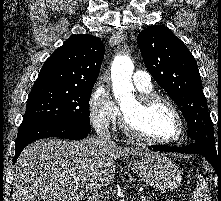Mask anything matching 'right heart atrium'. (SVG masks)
<instances>
[{"label": "right heart atrium", "mask_w": 221, "mask_h": 201, "mask_svg": "<svg viewBox=\"0 0 221 201\" xmlns=\"http://www.w3.org/2000/svg\"><path fill=\"white\" fill-rule=\"evenodd\" d=\"M118 108L109 91L99 87L94 90L89 101V119L98 131H108L116 123Z\"/></svg>", "instance_id": "d8ad5b80"}]
</instances>
